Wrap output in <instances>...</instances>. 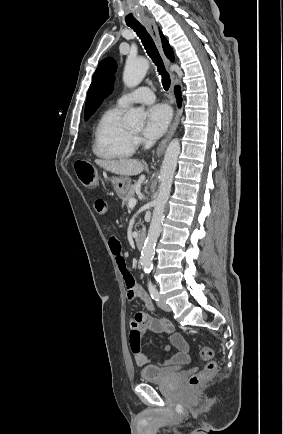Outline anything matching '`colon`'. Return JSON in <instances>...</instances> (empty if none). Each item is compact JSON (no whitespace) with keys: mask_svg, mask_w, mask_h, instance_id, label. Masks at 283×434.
Instances as JSON below:
<instances>
[{"mask_svg":"<svg viewBox=\"0 0 283 434\" xmlns=\"http://www.w3.org/2000/svg\"><path fill=\"white\" fill-rule=\"evenodd\" d=\"M75 170L79 181L87 188H94L98 185L99 177L96 169L90 163L77 162L75 164ZM199 357L206 361V365L197 374L192 375L189 378V385L191 387H198L211 380L217 372V364L212 361L213 349L209 346H204L199 350Z\"/></svg>","mask_w":283,"mask_h":434,"instance_id":"colon-1","label":"colon"}]
</instances>
